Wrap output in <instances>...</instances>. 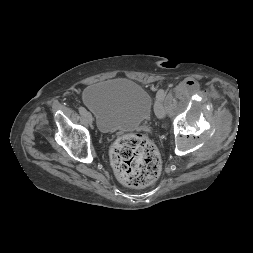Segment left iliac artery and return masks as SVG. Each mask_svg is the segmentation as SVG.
Returning a JSON list of instances; mask_svg holds the SVG:
<instances>
[{
  "label": "left iliac artery",
  "mask_w": 253,
  "mask_h": 253,
  "mask_svg": "<svg viewBox=\"0 0 253 253\" xmlns=\"http://www.w3.org/2000/svg\"><path fill=\"white\" fill-rule=\"evenodd\" d=\"M165 96H166V92L164 91V89H160V90L157 92V94H156L157 100H161L162 102L164 101ZM157 100H156V101H157Z\"/></svg>",
  "instance_id": "1"
}]
</instances>
